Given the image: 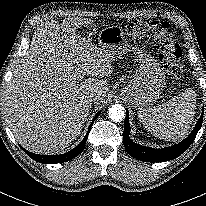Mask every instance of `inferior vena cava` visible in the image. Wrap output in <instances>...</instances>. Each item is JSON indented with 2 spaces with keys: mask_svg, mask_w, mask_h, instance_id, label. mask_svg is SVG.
Instances as JSON below:
<instances>
[{
  "mask_svg": "<svg viewBox=\"0 0 206 206\" xmlns=\"http://www.w3.org/2000/svg\"><path fill=\"white\" fill-rule=\"evenodd\" d=\"M88 100L90 102H98L100 100V97L97 95V94H94V93H90L89 96H88Z\"/></svg>",
  "mask_w": 206,
  "mask_h": 206,
  "instance_id": "obj_1",
  "label": "inferior vena cava"
}]
</instances>
